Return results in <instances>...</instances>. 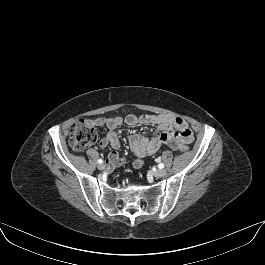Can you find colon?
Listing matches in <instances>:
<instances>
[{"mask_svg":"<svg viewBox=\"0 0 265 265\" xmlns=\"http://www.w3.org/2000/svg\"><path fill=\"white\" fill-rule=\"evenodd\" d=\"M69 136L71 147L77 151L87 148L94 144L98 139V133L95 127L88 121L82 119L76 120L71 125ZM169 146L180 152H186L188 150L187 145L178 140H172Z\"/></svg>","mask_w":265,"mask_h":265,"instance_id":"colon-1","label":"colon"}]
</instances>
